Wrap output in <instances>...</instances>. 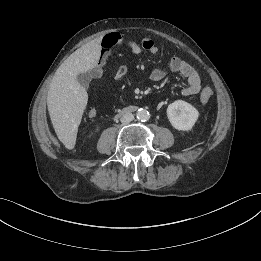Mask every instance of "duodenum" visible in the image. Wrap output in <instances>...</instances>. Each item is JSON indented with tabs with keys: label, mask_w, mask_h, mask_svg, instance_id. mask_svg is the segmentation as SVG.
I'll return each instance as SVG.
<instances>
[{
	"label": "duodenum",
	"mask_w": 261,
	"mask_h": 261,
	"mask_svg": "<svg viewBox=\"0 0 261 261\" xmlns=\"http://www.w3.org/2000/svg\"><path fill=\"white\" fill-rule=\"evenodd\" d=\"M134 110H135V107H129V108L124 109V112H132Z\"/></svg>",
	"instance_id": "1"
}]
</instances>
